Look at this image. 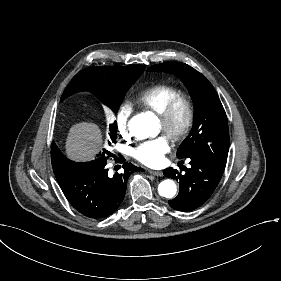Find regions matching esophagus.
<instances>
[{"label":"esophagus","instance_id":"obj_1","mask_svg":"<svg viewBox=\"0 0 281 281\" xmlns=\"http://www.w3.org/2000/svg\"><path fill=\"white\" fill-rule=\"evenodd\" d=\"M149 173L154 175V176H163L162 171L149 170Z\"/></svg>","mask_w":281,"mask_h":281}]
</instances>
